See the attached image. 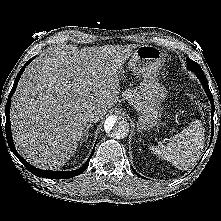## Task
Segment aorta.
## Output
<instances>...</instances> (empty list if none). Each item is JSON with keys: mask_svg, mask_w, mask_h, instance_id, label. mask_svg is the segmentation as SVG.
Instances as JSON below:
<instances>
[{"mask_svg": "<svg viewBox=\"0 0 221 221\" xmlns=\"http://www.w3.org/2000/svg\"><path fill=\"white\" fill-rule=\"evenodd\" d=\"M104 129L110 137L114 139H122L129 133V123L120 116H110L104 123Z\"/></svg>", "mask_w": 221, "mask_h": 221, "instance_id": "762f6f07", "label": "aorta"}]
</instances>
